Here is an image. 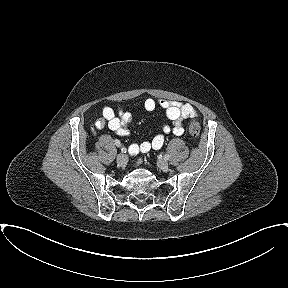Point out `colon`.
I'll return each mask as SVG.
<instances>
[{"label":"colon","mask_w":288,"mask_h":288,"mask_svg":"<svg viewBox=\"0 0 288 288\" xmlns=\"http://www.w3.org/2000/svg\"><path fill=\"white\" fill-rule=\"evenodd\" d=\"M200 131H201V128H200V124L197 120L193 119L190 124H189V134L190 136L196 140L199 138L200 136Z\"/></svg>","instance_id":"1"}]
</instances>
